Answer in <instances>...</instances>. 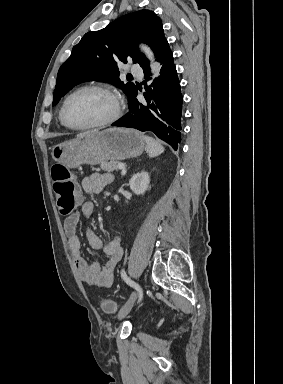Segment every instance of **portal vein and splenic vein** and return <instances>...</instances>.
<instances>
[{"mask_svg":"<svg viewBox=\"0 0 283 384\" xmlns=\"http://www.w3.org/2000/svg\"><path fill=\"white\" fill-rule=\"evenodd\" d=\"M119 170H122V174H125V166L124 164H118Z\"/></svg>","mask_w":283,"mask_h":384,"instance_id":"1","label":"portal vein and splenic vein"}]
</instances>
